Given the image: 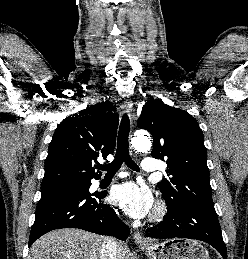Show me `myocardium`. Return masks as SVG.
<instances>
[{
  "label": "myocardium",
  "mask_w": 248,
  "mask_h": 259,
  "mask_svg": "<svg viewBox=\"0 0 248 259\" xmlns=\"http://www.w3.org/2000/svg\"><path fill=\"white\" fill-rule=\"evenodd\" d=\"M167 212V206L163 201H158L150 215L151 221L161 220Z\"/></svg>",
  "instance_id": "myocardium-1"
}]
</instances>
